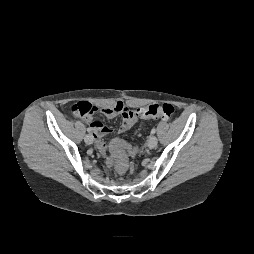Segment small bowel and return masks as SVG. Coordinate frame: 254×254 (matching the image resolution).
<instances>
[{
  "label": "small bowel",
  "instance_id": "small-bowel-1",
  "mask_svg": "<svg viewBox=\"0 0 254 254\" xmlns=\"http://www.w3.org/2000/svg\"><path fill=\"white\" fill-rule=\"evenodd\" d=\"M97 111L108 118H114L120 115L122 117V121L118 128L119 133L128 131L138 121V118L134 115V110L126 106L122 101H118L112 106L99 108ZM88 123L91 130H93L99 150L102 153H105L107 150V144L104 138L109 135L112 130L104 126L99 120L88 118ZM136 152V148H129L130 155L133 156Z\"/></svg>",
  "mask_w": 254,
  "mask_h": 254
}]
</instances>
